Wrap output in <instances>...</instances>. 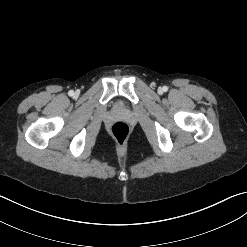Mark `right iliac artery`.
I'll list each match as a JSON object with an SVG mask.
<instances>
[{
    "label": "right iliac artery",
    "instance_id": "82829eb1",
    "mask_svg": "<svg viewBox=\"0 0 247 247\" xmlns=\"http://www.w3.org/2000/svg\"><path fill=\"white\" fill-rule=\"evenodd\" d=\"M68 94H69V96H73V95H74V91H73V90H70V91L68 92Z\"/></svg>",
    "mask_w": 247,
    "mask_h": 247
}]
</instances>
